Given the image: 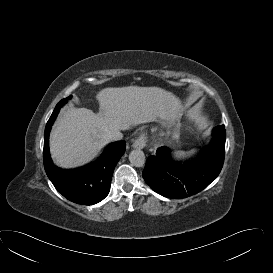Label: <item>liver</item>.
Returning <instances> with one entry per match:
<instances>
[{
    "label": "liver",
    "mask_w": 273,
    "mask_h": 273,
    "mask_svg": "<svg viewBox=\"0 0 273 273\" xmlns=\"http://www.w3.org/2000/svg\"><path fill=\"white\" fill-rule=\"evenodd\" d=\"M97 100L98 113L71 107L59 116L50 135V152L59 166L83 165L109 143L110 131L167 117L181 107L176 96L158 87H109L97 94Z\"/></svg>",
    "instance_id": "1"
}]
</instances>
